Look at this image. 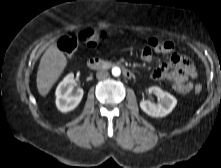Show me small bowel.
<instances>
[{
  "label": "small bowel",
  "mask_w": 221,
  "mask_h": 168,
  "mask_svg": "<svg viewBox=\"0 0 221 168\" xmlns=\"http://www.w3.org/2000/svg\"><path fill=\"white\" fill-rule=\"evenodd\" d=\"M169 44V49L161 53H171L174 45L171 41H163ZM153 48L147 45L142 53L141 58L145 62H150L153 57ZM171 68V70H169ZM196 70L192 62L182 56L173 55L168 63H162L151 72V77L154 79L168 78L172 82L173 89L180 94H186L191 91L192 83L189 81L188 76H194Z\"/></svg>",
  "instance_id": "1"
}]
</instances>
